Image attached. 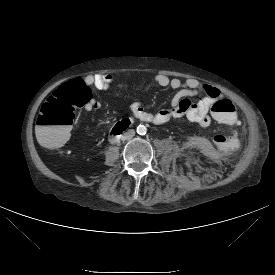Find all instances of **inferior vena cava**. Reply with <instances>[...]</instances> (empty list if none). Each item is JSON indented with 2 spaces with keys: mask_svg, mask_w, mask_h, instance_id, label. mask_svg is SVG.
<instances>
[{
  "mask_svg": "<svg viewBox=\"0 0 275 275\" xmlns=\"http://www.w3.org/2000/svg\"><path fill=\"white\" fill-rule=\"evenodd\" d=\"M135 135V131L133 129L128 130L122 135V140H128Z\"/></svg>",
  "mask_w": 275,
  "mask_h": 275,
  "instance_id": "obj_1",
  "label": "inferior vena cava"
}]
</instances>
